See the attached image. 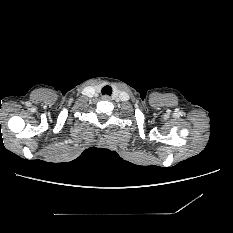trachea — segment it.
Segmentation results:
<instances>
[{
    "label": "trachea",
    "instance_id": "trachea-1",
    "mask_svg": "<svg viewBox=\"0 0 233 233\" xmlns=\"http://www.w3.org/2000/svg\"><path fill=\"white\" fill-rule=\"evenodd\" d=\"M111 93H112V88L110 86L106 85L102 88L103 95H105V94L111 95Z\"/></svg>",
    "mask_w": 233,
    "mask_h": 233
}]
</instances>
